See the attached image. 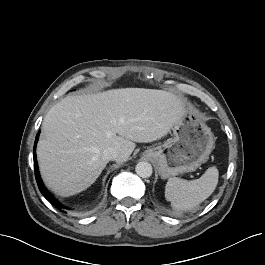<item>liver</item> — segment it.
<instances>
[{
  "instance_id": "liver-1",
  "label": "liver",
  "mask_w": 265,
  "mask_h": 265,
  "mask_svg": "<svg viewBox=\"0 0 265 265\" xmlns=\"http://www.w3.org/2000/svg\"><path fill=\"white\" fill-rule=\"evenodd\" d=\"M184 102L155 89L123 88L67 96L42 123L37 159L45 184L60 196L90 187L106 167L104 150L115 148L125 162L135 142L166 136L184 116Z\"/></svg>"
}]
</instances>
